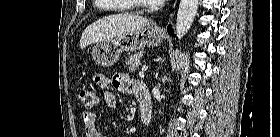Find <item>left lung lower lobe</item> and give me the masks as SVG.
Returning <instances> with one entry per match:
<instances>
[{"mask_svg": "<svg viewBox=\"0 0 280 137\" xmlns=\"http://www.w3.org/2000/svg\"><path fill=\"white\" fill-rule=\"evenodd\" d=\"M167 31L170 35L174 36V34L172 33V29H171L170 25L168 26Z\"/></svg>", "mask_w": 280, "mask_h": 137, "instance_id": "0a47b994", "label": "left lung lower lobe"}]
</instances>
